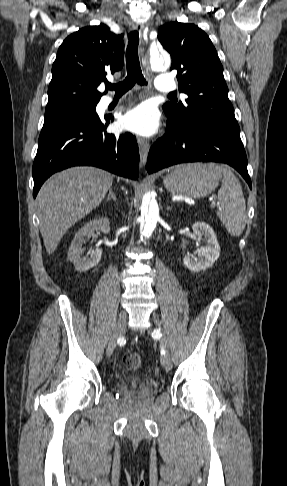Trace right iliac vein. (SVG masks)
<instances>
[{"label": "right iliac vein", "instance_id": "obj_1", "mask_svg": "<svg viewBox=\"0 0 287 486\" xmlns=\"http://www.w3.org/2000/svg\"><path fill=\"white\" fill-rule=\"evenodd\" d=\"M126 325V313L121 311L119 314L118 322L113 330L111 338L107 347V356L110 357L115 350L118 339L123 335Z\"/></svg>", "mask_w": 287, "mask_h": 486}]
</instances>
